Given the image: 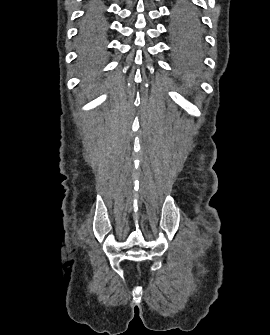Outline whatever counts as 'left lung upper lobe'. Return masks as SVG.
<instances>
[{
	"label": "left lung upper lobe",
	"mask_w": 270,
	"mask_h": 335,
	"mask_svg": "<svg viewBox=\"0 0 270 335\" xmlns=\"http://www.w3.org/2000/svg\"><path fill=\"white\" fill-rule=\"evenodd\" d=\"M174 30L187 32L199 24V12L191 0H181L174 9Z\"/></svg>",
	"instance_id": "5c2ea615"
}]
</instances>
